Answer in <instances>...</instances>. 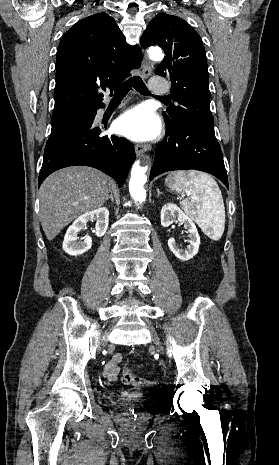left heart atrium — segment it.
I'll use <instances>...</instances> for the list:
<instances>
[{"mask_svg": "<svg viewBox=\"0 0 279 465\" xmlns=\"http://www.w3.org/2000/svg\"><path fill=\"white\" fill-rule=\"evenodd\" d=\"M116 129L131 140L148 141L158 136L161 123L148 106L138 105L118 118Z\"/></svg>", "mask_w": 279, "mask_h": 465, "instance_id": "obj_1", "label": "left heart atrium"}]
</instances>
